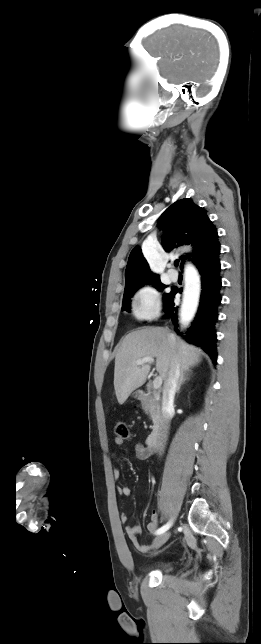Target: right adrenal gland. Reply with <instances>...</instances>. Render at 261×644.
Returning <instances> with one entry per match:
<instances>
[{
	"instance_id": "2a0ac1e0",
	"label": "right adrenal gland",
	"mask_w": 261,
	"mask_h": 644,
	"mask_svg": "<svg viewBox=\"0 0 261 644\" xmlns=\"http://www.w3.org/2000/svg\"><path fill=\"white\" fill-rule=\"evenodd\" d=\"M190 373H191V371H185V372H183V371H182V372H181V376H180V379H179V382H178V385H177V388H176V393H179V392H180L181 385H182L185 381H189V380H190Z\"/></svg>"
}]
</instances>
